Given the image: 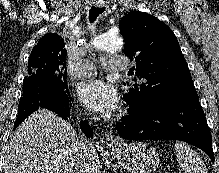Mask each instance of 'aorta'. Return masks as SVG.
<instances>
[{"label":"aorta","mask_w":219,"mask_h":173,"mask_svg":"<svg viewBox=\"0 0 219 173\" xmlns=\"http://www.w3.org/2000/svg\"><path fill=\"white\" fill-rule=\"evenodd\" d=\"M94 48L101 51H119L123 48V38L117 35L99 34L96 35L92 41Z\"/></svg>","instance_id":"1"}]
</instances>
